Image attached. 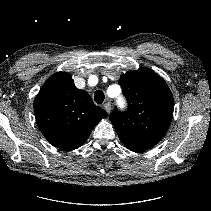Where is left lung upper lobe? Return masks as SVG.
Returning a JSON list of instances; mask_svg holds the SVG:
<instances>
[{
    "mask_svg": "<svg viewBox=\"0 0 211 211\" xmlns=\"http://www.w3.org/2000/svg\"><path fill=\"white\" fill-rule=\"evenodd\" d=\"M119 84L128 100L124 112L110 115L120 141L130 149H149L160 142L173 116V95L166 82L148 68L122 75Z\"/></svg>",
    "mask_w": 211,
    "mask_h": 211,
    "instance_id": "5c2ea615",
    "label": "left lung upper lobe"
}]
</instances>
